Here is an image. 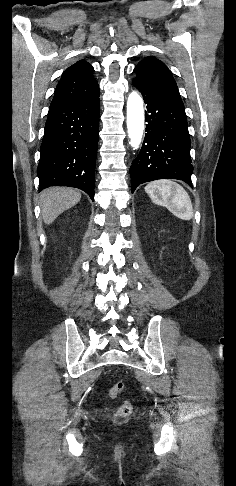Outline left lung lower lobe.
Segmentation results:
<instances>
[{
    "label": "left lung lower lobe",
    "mask_w": 236,
    "mask_h": 486,
    "mask_svg": "<svg viewBox=\"0 0 236 486\" xmlns=\"http://www.w3.org/2000/svg\"><path fill=\"white\" fill-rule=\"evenodd\" d=\"M146 106L145 139L130 168L132 193L142 183L178 179L192 187L193 166L185 109L159 94L148 84L134 79Z\"/></svg>",
    "instance_id": "1"
}]
</instances>
